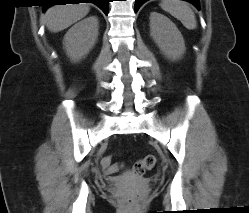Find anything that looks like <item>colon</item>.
Listing matches in <instances>:
<instances>
[{
  "label": "colon",
  "mask_w": 249,
  "mask_h": 213,
  "mask_svg": "<svg viewBox=\"0 0 249 213\" xmlns=\"http://www.w3.org/2000/svg\"><path fill=\"white\" fill-rule=\"evenodd\" d=\"M156 164V158L153 155H147L137 161L133 166V173L135 175H142L145 171L152 169ZM102 166L106 172L112 174L119 170L118 164L112 163L111 156H107L102 160ZM121 200L125 204H133L135 202V197L133 193H126L122 195Z\"/></svg>",
  "instance_id": "obj_1"
}]
</instances>
